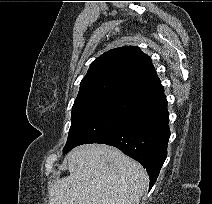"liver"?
Masks as SVG:
<instances>
[{"label": "liver", "mask_w": 212, "mask_h": 204, "mask_svg": "<svg viewBox=\"0 0 212 204\" xmlns=\"http://www.w3.org/2000/svg\"><path fill=\"white\" fill-rule=\"evenodd\" d=\"M65 162L70 175L53 182L48 204H139L149 184L139 163L108 145L78 146Z\"/></svg>", "instance_id": "6515ba94"}]
</instances>
